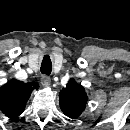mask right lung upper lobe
<instances>
[{"mask_svg": "<svg viewBox=\"0 0 130 130\" xmlns=\"http://www.w3.org/2000/svg\"><path fill=\"white\" fill-rule=\"evenodd\" d=\"M36 82L23 83L11 80L0 87V110L9 118L22 114L32 91L38 89Z\"/></svg>", "mask_w": 130, "mask_h": 130, "instance_id": "cb5924a9", "label": "right lung upper lobe"}]
</instances>
